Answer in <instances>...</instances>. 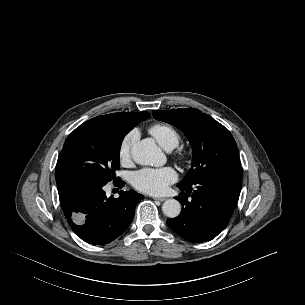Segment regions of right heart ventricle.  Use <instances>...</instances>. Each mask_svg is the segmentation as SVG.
Listing matches in <instances>:
<instances>
[{"label":"right heart ventricle","instance_id":"1","mask_svg":"<svg viewBox=\"0 0 305 305\" xmlns=\"http://www.w3.org/2000/svg\"><path fill=\"white\" fill-rule=\"evenodd\" d=\"M150 134L166 150H172L180 142V134L172 126L164 123H156L149 127Z\"/></svg>","mask_w":305,"mask_h":305}]
</instances>
